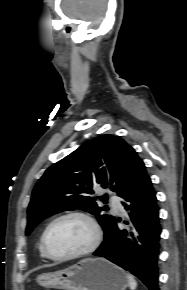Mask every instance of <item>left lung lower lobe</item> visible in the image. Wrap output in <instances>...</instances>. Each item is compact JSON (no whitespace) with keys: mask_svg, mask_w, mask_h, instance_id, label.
Listing matches in <instances>:
<instances>
[{"mask_svg":"<svg viewBox=\"0 0 187 290\" xmlns=\"http://www.w3.org/2000/svg\"><path fill=\"white\" fill-rule=\"evenodd\" d=\"M129 228L119 229L114 219L104 241L94 252L137 276L149 290H159L158 256L161 226L156 192L146 174L123 196ZM119 221V219H118Z\"/></svg>","mask_w":187,"mask_h":290,"instance_id":"left-lung-lower-lobe-1","label":"left lung lower lobe"}]
</instances>
